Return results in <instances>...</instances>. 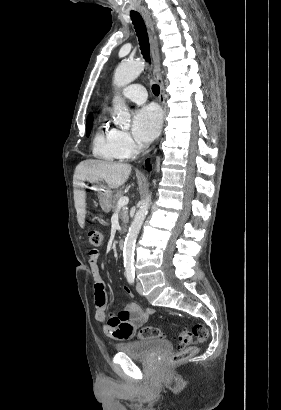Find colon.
Segmentation results:
<instances>
[{
  "label": "colon",
  "mask_w": 281,
  "mask_h": 410,
  "mask_svg": "<svg viewBox=\"0 0 281 410\" xmlns=\"http://www.w3.org/2000/svg\"><path fill=\"white\" fill-rule=\"evenodd\" d=\"M88 238L90 244L94 247H99L102 244V234L98 230L91 229L88 232ZM163 336L164 334L159 328L152 326L143 327L138 331L140 339L162 338ZM207 337L208 330L205 326L195 324L192 328H189L188 325H185L177 338L180 351L171 356V363L178 364L191 358L197 352V347L193 345V339L195 338L197 342L202 343Z\"/></svg>",
  "instance_id": "obj_1"
}]
</instances>
